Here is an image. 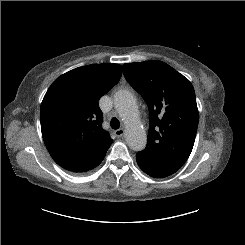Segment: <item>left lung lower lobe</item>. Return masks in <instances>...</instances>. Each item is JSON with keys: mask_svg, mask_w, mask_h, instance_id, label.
<instances>
[{"mask_svg": "<svg viewBox=\"0 0 245 245\" xmlns=\"http://www.w3.org/2000/svg\"><path fill=\"white\" fill-rule=\"evenodd\" d=\"M136 161L139 167L149 176L163 178L177 172L180 168L164 160H151L143 154H136Z\"/></svg>", "mask_w": 245, "mask_h": 245, "instance_id": "obj_1", "label": "left lung lower lobe"}]
</instances>
